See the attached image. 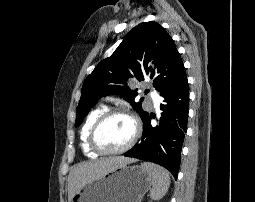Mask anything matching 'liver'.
I'll list each match as a JSON object with an SVG mask.
<instances>
[{
  "label": "liver",
  "mask_w": 255,
  "mask_h": 202,
  "mask_svg": "<svg viewBox=\"0 0 255 202\" xmlns=\"http://www.w3.org/2000/svg\"><path fill=\"white\" fill-rule=\"evenodd\" d=\"M135 160L123 156L82 162L72 167L68 176V200L85 184Z\"/></svg>",
  "instance_id": "obj_1"
}]
</instances>
